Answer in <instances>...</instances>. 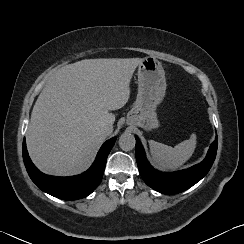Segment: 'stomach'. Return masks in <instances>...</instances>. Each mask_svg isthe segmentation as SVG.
<instances>
[{
    "instance_id": "obj_1",
    "label": "stomach",
    "mask_w": 244,
    "mask_h": 244,
    "mask_svg": "<svg viewBox=\"0 0 244 244\" xmlns=\"http://www.w3.org/2000/svg\"><path fill=\"white\" fill-rule=\"evenodd\" d=\"M137 76L138 94L127 122L151 131L159 127L157 108L166 94L165 71L156 58L148 56L138 65Z\"/></svg>"
}]
</instances>
